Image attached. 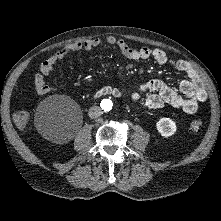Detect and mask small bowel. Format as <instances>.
<instances>
[{"instance_id": "small-bowel-1", "label": "small bowel", "mask_w": 221, "mask_h": 221, "mask_svg": "<svg viewBox=\"0 0 221 221\" xmlns=\"http://www.w3.org/2000/svg\"><path fill=\"white\" fill-rule=\"evenodd\" d=\"M117 46L121 54L132 61H144L153 59L158 65H165L168 62L167 54L158 48H132L125 40L117 39L113 36L105 39L95 38L74 42L58 50L54 55L44 60L39 68V72L34 77V87L38 95H45L54 87L45 82V77L54 71L57 63L72 53L80 51H91L101 46ZM177 70L186 75V79L179 84V92L169 87L160 79H152L142 84L138 91L132 94V100H141L142 93L150 92L143 100L142 106L145 109H159L165 105L183 110L187 114H193L198 109L200 103L207 98V93L196 71L192 66L184 61L176 62ZM25 129V128H24Z\"/></svg>"}]
</instances>
